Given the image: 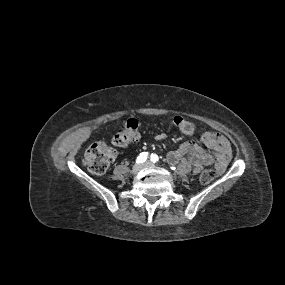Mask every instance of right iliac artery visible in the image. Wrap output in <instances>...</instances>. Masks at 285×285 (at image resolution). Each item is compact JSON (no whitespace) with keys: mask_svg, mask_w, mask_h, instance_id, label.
Here are the masks:
<instances>
[{"mask_svg":"<svg viewBox=\"0 0 285 285\" xmlns=\"http://www.w3.org/2000/svg\"><path fill=\"white\" fill-rule=\"evenodd\" d=\"M148 158V152H142L139 154V156L136 159V163L140 164L147 160Z\"/></svg>","mask_w":285,"mask_h":285,"instance_id":"82829eb1","label":"right iliac artery"}]
</instances>
